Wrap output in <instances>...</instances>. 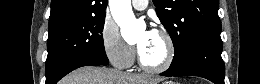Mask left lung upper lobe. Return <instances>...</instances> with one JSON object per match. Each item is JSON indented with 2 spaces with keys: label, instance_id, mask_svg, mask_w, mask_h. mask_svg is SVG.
Listing matches in <instances>:
<instances>
[{
  "label": "left lung upper lobe",
  "instance_id": "left-lung-upper-lobe-1",
  "mask_svg": "<svg viewBox=\"0 0 260 84\" xmlns=\"http://www.w3.org/2000/svg\"><path fill=\"white\" fill-rule=\"evenodd\" d=\"M156 13L168 31L176 64L197 42L220 38L218 0H153Z\"/></svg>",
  "mask_w": 260,
  "mask_h": 84
}]
</instances>
